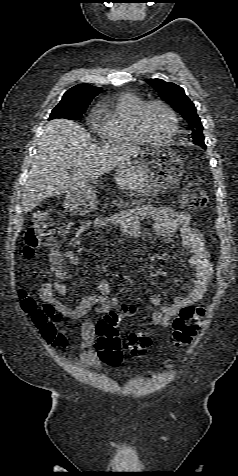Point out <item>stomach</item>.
<instances>
[{
	"instance_id": "stomach-1",
	"label": "stomach",
	"mask_w": 238,
	"mask_h": 476,
	"mask_svg": "<svg viewBox=\"0 0 238 476\" xmlns=\"http://www.w3.org/2000/svg\"><path fill=\"white\" fill-rule=\"evenodd\" d=\"M183 161L172 150H160L158 144L151 151H134L126 161L117 165V185L132 195L151 196L171 188L183 173ZM98 203L97 189L87 184L70 190L64 204L72 213L91 212Z\"/></svg>"
}]
</instances>
